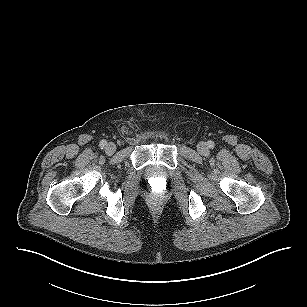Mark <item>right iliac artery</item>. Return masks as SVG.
<instances>
[{
	"instance_id": "right-iliac-artery-1",
	"label": "right iliac artery",
	"mask_w": 307,
	"mask_h": 307,
	"mask_svg": "<svg viewBox=\"0 0 307 307\" xmlns=\"http://www.w3.org/2000/svg\"><path fill=\"white\" fill-rule=\"evenodd\" d=\"M106 144H107L106 140H102V141L100 142L99 146H100L101 148H104V147L106 146Z\"/></svg>"
}]
</instances>
